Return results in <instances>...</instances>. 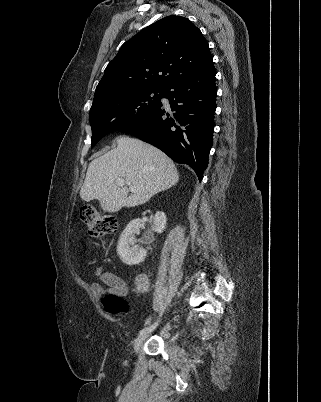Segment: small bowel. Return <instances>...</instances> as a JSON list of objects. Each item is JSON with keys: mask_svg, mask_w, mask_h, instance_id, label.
I'll return each mask as SVG.
<instances>
[{"mask_svg": "<svg viewBox=\"0 0 321 402\" xmlns=\"http://www.w3.org/2000/svg\"><path fill=\"white\" fill-rule=\"evenodd\" d=\"M95 273L101 282L92 284L91 288L95 294L101 295L107 292L125 296L128 293V285L122 278L101 268L97 269ZM135 288L138 292H146L148 290L149 281L145 274L136 275Z\"/></svg>", "mask_w": 321, "mask_h": 402, "instance_id": "1", "label": "small bowel"}]
</instances>
